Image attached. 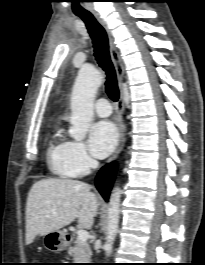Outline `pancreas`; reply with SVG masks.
<instances>
[{"mask_svg":"<svg viewBox=\"0 0 205 265\" xmlns=\"http://www.w3.org/2000/svg\"><path fill=\"white\" fill-rule=\"evenodd\" d=\"M75 245L70 247V253L75 263H87L91 257V250L87 243L76 239Z\"/></svg>","mask_w":205,"mask_h":265,"instance_id":"pancreas-1","label":"pancreas"}]
</instances>
